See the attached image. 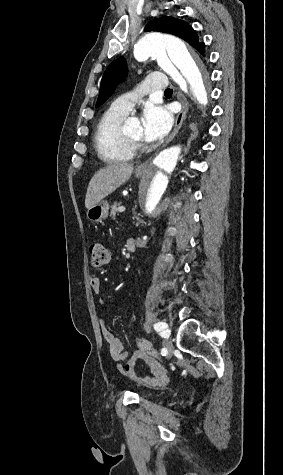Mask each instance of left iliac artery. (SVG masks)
<instances>
[{
    "label": "left iliac artery",
    "instance_id": "obj_1",
    "mask_svg": "<svg viewBox=\"0 0 283 475\" xmlns=\"http://www.w3.org/2000/svg\"><path fill=\"white\" fill-rule=\"evenodd\" d=\"M168 327V325L164 322H158L156 324H154V329L156 331H161L162 330V336H165V334L163 333L164 329H166Z\"/></svg>",
    "mask_w": 283,
    "mask_h": 475
}]
</instances>
